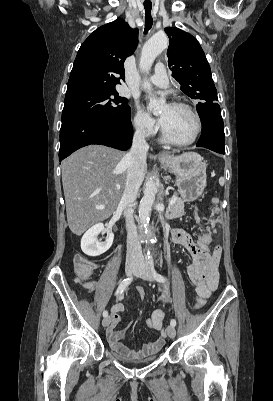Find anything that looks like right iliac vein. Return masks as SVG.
<instances>
[{
  "label": "right iliac vein",
  "mask_w": 273,
  "mask_h": 401,
  "mask_svg": "<svg viewBox=\"0 0 273 401\" xmlns=\"http://www.w3.org/2000/svg\"><path fill=\"white\" fill-rule=\"evenodd\" d=\"M138 268H139L138 264H129L125 269L126 275L131 276L138 270ZM110 322H111V317L110 316L105 317L102 320L103 327H107L110 324Z\"/></svg>",
  "instance_id": "obj_1"
}]
</instances>
